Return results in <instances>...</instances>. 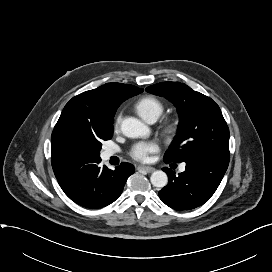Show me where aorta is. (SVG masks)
Returning <instances> with one entry per match:
<instances>
[{"mask_svg": "<svg viewBox=\"0 0 272 272\" xmlns=\"http://www.w3.org/2000/svg\"><path fill=\"white\" fill-rule=\"evenodd\" d=\"M122 133L131 138L144 137L150 134V129L140 120L134 117L125 118L121 123ZM153 186L163 188L168 183V176L162 170H157L150 177Z\"/></svg>", "mask_w": 272, "mask_h": 272, "instance_id": "1", "label": "aorta"}]
</instances>
